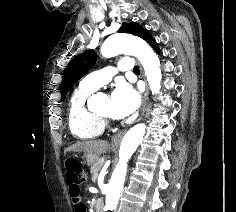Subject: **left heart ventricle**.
Listing matches in <instances>:
<instances>
[{"label": "left heart ventricle", "instance_id": "obj_1", "mask_svg": "<svg viewBox=\"0 0 236 212\" xmlns=\"http://www.w3.org/2000/svg\"><path fill=\"white\" fill-rule=\"evenodd\" d=\"M99 113L111 115V99L107 97L103 102L99 109Z\"/></svg>", "mask_w": 236, "mask_h": 212}]
</instances>
